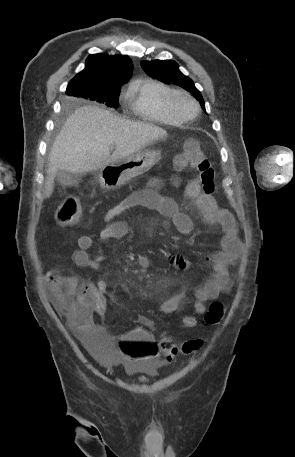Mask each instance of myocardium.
Returning a JSON list of instances; mask_svg holds the SVG:
<instances>
[{
  "label": "myocardium",
  "mask_w": 295,
  "mask_h": 457,
  "mask_svg": "<svg viewBox=\"0 0 295 457\" xmlns=\"http://www.w3.org/2000/svg\"><path fill=\"white\" fill-rule=\"evenodd\" d=\"M181 99L187 100L193 105L192 113L185 114L179 110L178 102ZM167 103L170 111L181 121L192 120L199 112V104L197 100L191 94L183 90H173L167 97Z\"/></svg>",
  "instance_id": "1"
}]
</instances>
